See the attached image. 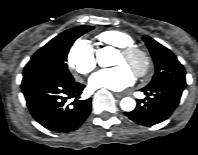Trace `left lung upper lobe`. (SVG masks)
Returning a JSON list of instances; mask_svg holds the SVG:
<instances>
[{"instance_id":"1","label":"left lung upper lobe","mask_w":198,"mask_h":155,"mask_svg":"<svg viewBox=\"0 0 198 155\" xmlns=\"http://www.w3.org/2000/svg\"><path fill=\"white\" fill-rule=\"evenodd\" d=\"M143 40L152 55L156 68L152 81L146 87H153L160 83L173 81L185 83L186 73L176 56L169 49L146 35L143 37Z\"/></svg>"}]
</instances>
